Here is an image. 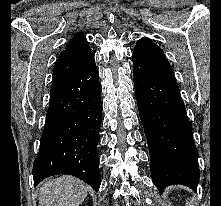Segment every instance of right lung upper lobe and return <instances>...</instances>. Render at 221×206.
<instances>
[{
	"mask_svg": "<svg viewBox=\"0 0 221 206\" xmlns=\"http://www.w3.org/2000/svg\"><path fill=\"white\" fill-rule=\"evenodd\" d=\"M94 62V55L86 37L78 33L70 40L66 49L60 53L53 69L52 85L76 75Z\"/></svg>",
	"mask_w": 221,
	"mask_h": 206,
	"instance_id": "right-lung-upper-lobe-1",
	"label": "right lung upper lobe"
}]
</instances>
